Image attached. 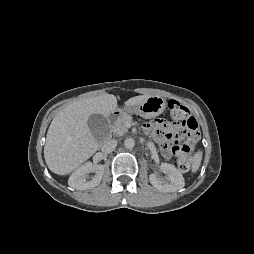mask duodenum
I'll list each match as a JSON object with an SVG mask.
<instances>
[{
  "label": "duodenum",
  "instance_id": "1",
  "mask_svg": "<svg viewBox=\"0 0 254 254\" xmlns=\"http://www.w3.org/2000/svg\"><path fill=\"white\" fill-rule=\"evenodd\" d=\"M121 114V111L115 110L109 114V121L112 122L116 117H118Z\"/></svg>",
  "mask_w": 254,
  "mask_h": 254
}]
</instances>
